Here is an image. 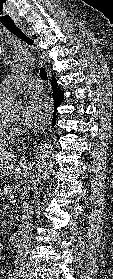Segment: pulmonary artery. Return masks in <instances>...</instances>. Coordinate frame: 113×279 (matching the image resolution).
<instances>
[{
    "label": "pulmonary artery",
    "instance_id": "obj_1",
    "mask_svg": "<svg viewBox=\"0 0 113 279\" xmlns=\"http://www.w3.org/2000/svg\"><path fill=\"white\" fill-rule=\"evenodd\" d=\"M39 80L28 75H14L8 77L2 84H0V91L11 96L21 90H39L41 89Z\"/></svg>",
    "mask_w": 113,
    "mask_h": 279
}]
</instances>
